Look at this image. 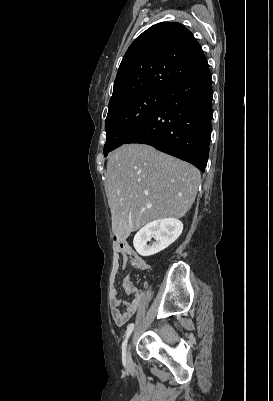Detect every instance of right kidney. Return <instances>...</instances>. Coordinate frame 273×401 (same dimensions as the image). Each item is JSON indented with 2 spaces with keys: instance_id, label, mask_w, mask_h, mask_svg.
I'll list each match as a JSON object with an SVG mask.
<instances>
[{
  "instance_id": "right-kidney-1",
  "label": "right kidney",
  "mask_w": 273,
  "mask_h": 401,
  "mask_svg": "<svg viewBox=\"0 0 273 401\" xmlns=\"http://www.w3.org/2000/svg\"><path fill=\"white\" fill-rule=\"evenodd\" d=\"M182 231L183 225L178 219L152 221V223H148L136 233L133 239L134 249L142 257L156 255V253H160V251L169 247L171 243H174L180 237ZM151 239H155L154 243L147 245Z\"/></svg>"
}]
</instances>
